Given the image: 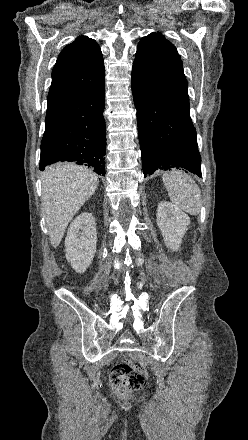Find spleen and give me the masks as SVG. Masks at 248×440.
Here are the masks:
<instances>
[{
    "mask_svg": "<svg viewBox=\"0 0 248 440\" xmlns=\"http://www.w3.org/2000/svg\"><path fill=\"white\" fill-rule=\"evenodd\" d=\"M162 180L173 204L191 215L200 213L201 191L189 175L173 170L165 173Z\"/></svg>",
    "mask_w": 248,
    "mask_h": 440,
    "instance_id": "3e777b00",
    "label": "spleen"
}]
</instances>
